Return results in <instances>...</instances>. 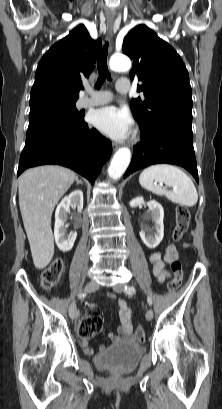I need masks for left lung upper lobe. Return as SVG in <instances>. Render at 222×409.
<instances>
[{
    "label": "left lung upper lobe",
    "mask_w": 222,
    "mask_h": 409,
    "mask_svg": "<svg viewBox=\"0 0 222 409\" xmlns=\"http://www.w3.org/2000/svg\"><path fill=\"white\" fill-rule=\"evenodd\" d=\"M123 53L133 60L132 80L144 98L130 103L141 126L177 118L192 123V92L188 71L177 52L145 25L132 29L123 42Z\"/></svg>",
    "instance_id": "1"
}]
</instances>
